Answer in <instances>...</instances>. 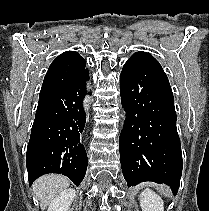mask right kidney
Segmentation results:
<instances>
[{"label":"right kidney","mask_w":209,"mask_h":211,"mask_svg":"<svg viewBox=\"0 0 209 211\" xmlns=\"http://www.w3.org/2000/svg\"><path fill=\"white\" fill-rule=\"evenodd\" d=\"M75 194L73 188L63 190L51 201L47 211H69Z\"/></svg>","instance_id":"ca27d5eb"}]
</instances>
